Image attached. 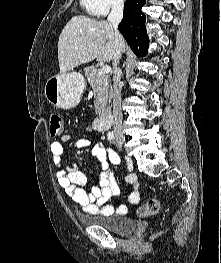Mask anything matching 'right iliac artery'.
<instances>
[{"instance_id":"right-iliac-artery-1","label":"right iliac artery","mask_w":221,"mask_h":263,"mask_svg":"<svg viewBox=\"0 0 221 263\" xmlns=\"http://www.w3.org/2000/svg\"><path fill=\"white\" fill-rule=\"evenodd\" d=\"M107 137L110 142H114L115 136L113 132L108 133Z\"/></svg>"}]
</instances>
